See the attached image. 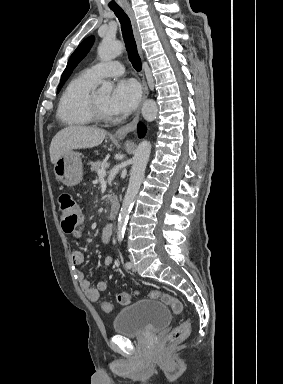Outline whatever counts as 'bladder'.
Returning a JSON list of instances; mask_svg holds the SVG:
<instances>
[{
	"mask_svg": "<svg viewBox=\"0 0 283 384\" xmlns=\"http://www.w3.org/2000/svg\"><path fill=\"white\" fill-rule=\"evenodd\" d=\"M170 316L167 306L160 301L137 299L119 309L112 328L116 335L123 337H144L164 328L169 323Z\"/></svg>",
	"mask_w": 283,
	"mask_h": 384,
	"instance_id": "obj_1",
	"label": "bladder"
}]
</instances>
